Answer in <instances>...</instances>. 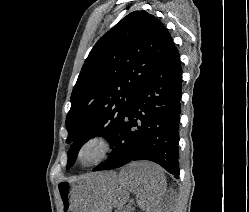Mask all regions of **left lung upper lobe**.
<instances>
[{
    "label": "left lung upper lobe",
    "mask_w": 249,
    "mask_h": 212,
    "mask_svg": "<svg viewBox=\"0 0 249 212\" xmlns=\"http://www.w3.org/2000/svg\"><path fill=\"white\" fill-rule=\"evenodd\" d=\"M172 44L165 26L145 11L128 14L98 40L71 94L67 169L89 139L114 145L132 99Z\"/></svg>",
    "instance_id": "obj_1"
}]
</instances>
